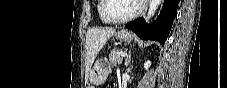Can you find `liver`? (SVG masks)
<instances>
[{"instance_id":"obj_1","label":"liver","mask_w":227,"mask_h":88,"mask_svg":"<svg viewBox=\"0 0 227 88\" xmlns=\"http://www.w3.org/2000/svg\"><path fill=\"white\" fill-rule=\"evenodd\" d=\"M115 34V29L90 28L86 34V65L90 69L99 51Z\"/></svg>"}]
</instances>
